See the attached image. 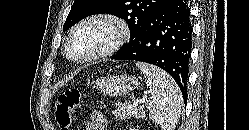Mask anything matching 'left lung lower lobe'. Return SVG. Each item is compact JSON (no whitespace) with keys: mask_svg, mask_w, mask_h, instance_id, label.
<instances>
[{"mask_svg":"<svg viewBox=\"0 0 249 130\" xmlns=\"http://www.w3.org/2000/svg\"><path fill=\"white\" fill-rule=\"evenodd\" d=\"M191 48L189 4L186 0H168L114 59L141 61L164 69L177 82L186 102Z\"/></svg>","mask_w":249,"mask_h":130,"instance_id":"left-lung-lower-lobe-1","label":"left lung lower lobe"}]
</instances>
